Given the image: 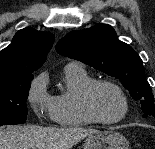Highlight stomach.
Masks as SVG:
<instances>
[{"mask_svg": "<svg viewBox=\"0 0 155 149\" xmlns=\"http://www.w3.org/2000/svg\"><path fill=\"white\" fill-rule=\"evenodd\" d=\"M127 139L115 130L98 131L87 136L83 149H129Z\"/></svg>", "mask_w": 155, "mask_h": 149, "instance_id": "stomach-1", "label": "stomach"}]
</instances>
